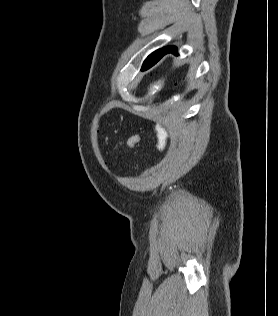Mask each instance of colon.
Listing matches in <instances>:
<instances>
[{"mask_svg": "<svg viewBox=\"0 0 278 316\" xmlns=\"http://www.w3.org/2000/svg\"><path fill=\"white\" fill-rule=\"evenodd\" d=\"M155 131L157 135V149L163 151L167 141V133L165 129L159 125H155Z\"/></svg>", "mask_w": 278, "mask_h": 316, "instance_id": "5ec220e1", "label": "colon"}]
</instances>
